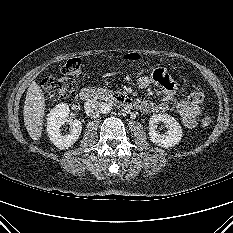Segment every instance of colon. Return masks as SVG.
<instances>
[{"label":"colon","instance_id":"colon-1","mask_svg":"<svg viewBox=\"0 0 233 233\" xmlns=\"http://www.w3.org/2000/svg\"><path fill=\"white\" fill-rule=\"evenodd\" d=\"M127 61L135 62L140 59L138 53H128L124 55ZM63 77H47L42 81V87L45 92L54 99L69 97L76 89V79L83 75V65L79 58L69 59L62 68ZM205 94L201 90H194L190 93L188 99L193 104L203 102ZM201 124L207 127L211 124V117L204 115Z\"/></svg>","mask_w":233,"mask_h":233}]
</instances>
